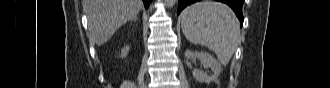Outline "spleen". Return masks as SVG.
Returning a JSON list of instances; mask_svg holds the SVG:
<instances>
[{"instance_id":"1","label":"spleen","mask_w":330,"mask_h":88,"mask_svg":"<svg viewBox=\"0 0 330 88\" xmlns=\"http://www.w3.org/2000/svg\"><path fill=\"white\" fill-rule=\"evenodd\" d=\"M181 28L193 44L213 51L221 64L227 65L239 42V27L235 14L226 4L201 1L181 13Z\"/></svg>"}]
</instances>
